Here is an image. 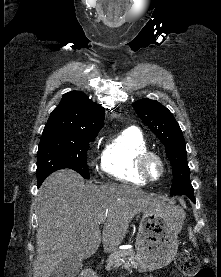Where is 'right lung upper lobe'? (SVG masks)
<instances>
[{
	"label": "right lung upper lobe",
	"mask_w": 221,
	"mask_h": 277,
	"mask_svg": "<svg viewBox=\"0 0 221 277\" xmlns=\"http://www.w3.org/2000/svg\"><path fill=\"white\" fill-rule=\"evenodd\" d=\"M104 116V108L83 92H69L51 113L43 132L99 131L104 125Z\"/></svg>",
	"instance_id": "1"
}]
</instances>
